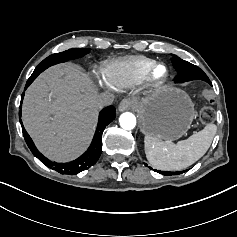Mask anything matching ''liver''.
Here are the masks:
<instances>
[{"label":"liver","mask_w":237,"mask_h":237,"mask_svg":"<svg viewBox=\"0 0 237 237\" xmlns=\"http://www.w3.org/2000/svg\"><path fill=\"white\" fill-rule=\"evenodd\" d=\"M91 77L71 63L52 66L28 87L22 106L24 127L47 158L79 157L94 134L100 110Z\"/></svg>","instance_id":"obj_1"}]
</instances>
